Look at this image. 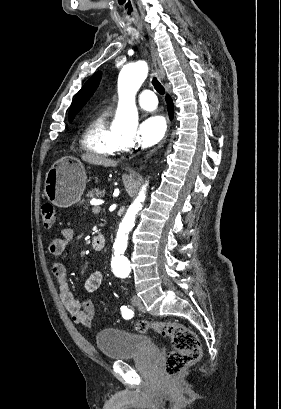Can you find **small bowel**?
<instances>
[{
  "label": "small bowel",
  "mask_w": 281,
  "mask_h": 409,
  "mask_svg": "<svg viewBox=\"0 0 281 409\" xmlns=\"http://www.w3.org/2000/svg\"><path fill=\"white\" fill-rule=\"evenodd\" d=\"M73 229L63 228L60 236L52 240L49 246L50 253L55 256L62 255L69 242L73 239ZM53 274L58 280L59 296L67 312L70 314L73 323L86 328H92L94 325L95 309L91 301L77 300L69 286L68 267L63 261H56L52 265ZM103 280V274L100 271L93 272L85 282V288L88 292L96 291Z\"/></svg>",
  "instance_id": "small-bowel-1"
}]
</instances>
